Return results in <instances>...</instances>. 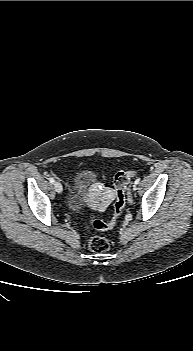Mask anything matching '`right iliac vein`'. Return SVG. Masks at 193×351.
<instances>
[{
    "label": "right iliac vein",
    "mask_w": 193,
    "mask_h": 351,
    "mask_svg": "<svg viewBox=\"0 0 193 351\" xmlns=\"http://www.w3.org/2000/svg\"><path fill=\"white\" fill-rule=\"evenodd\" d=\"M54 188H55V190H56L58 193H62V191H63V187H62V185H61L60 182H55V183H54Z\"/></svg>",
    "instance_id": "right-iliac-vein-1"
}]
</instances>
